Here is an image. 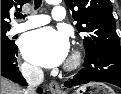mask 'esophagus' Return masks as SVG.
<instances>
[{
    "label": "esophagus",
    "instance_id": "obj_1",
    "mask_svg": "<svg viewBox=\"0 0 121 94\" xmlns=\"http://www.w3.org/2000/svg\"><path fill=\"white\" fill-rule=\"evenodd\" d=\"M49 90L53 94H62L61 88H60L59 84L56 81H51L49 83Z\"/></svg>",
    "mask_w": 121,
    "mask_h": 94
}]
</instances>
